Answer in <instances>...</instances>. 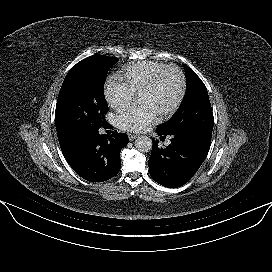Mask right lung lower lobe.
Instances as JSON below:
<instances>
[{"label":"right lung lower lobe","mask_w":272,"mask_h":272,"mask_svg":"<svg viewBox=\"0 0 272 272\" xmlns=\"http://www.w3.org/2000/svg\"><path fill=\"white\" fill-rule=\"evenodd\" d=\"M128 143L125 133L100 135L98 130L83 137L65 159L83 179L103 182L115 176L121 167L120 152Z\"/></svg>","instance_id":"98d812e1"}]
</instances>
